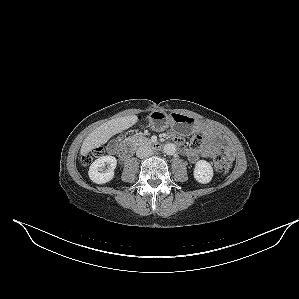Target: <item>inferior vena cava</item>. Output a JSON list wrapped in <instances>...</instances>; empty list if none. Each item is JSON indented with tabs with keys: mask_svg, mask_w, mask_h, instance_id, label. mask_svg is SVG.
Instances as JSON below:
<instances>
[{
	"mask_svg": "<svg viewBox=\"0 0 299 299\" xmlns=\"http://www.w3.org/2000/svg\"><path fill=\"white\" fill-rule=\"evenodd\" d=\"M136 155L138 158H147L152 155V149L147 145H141L137 149Z\"/></svg>",
	"mask_w": 299,
	"mask_h": 299,
	"instance_id": "1",
	"label": "inferior vena cava"
}]
</instances>
